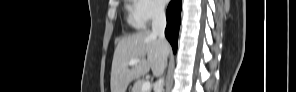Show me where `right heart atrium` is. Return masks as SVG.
<instances>
[{
	"mask_svg": "<svg viewBox=\"0 0 296 92\" xmlns=\"http://www.w3.org/2000/svg\"><path fill=\"white\" fill-rule=\"evenodd\" d=\"M132 3V16L140 26H146L164 15V8L158 1L134 0Z\"/></svg>",
	"mask_w": 296,
	"mask_h": 92,
	"instance_id": "1",
	"label": "right heart atrium"
}]
</instances>
